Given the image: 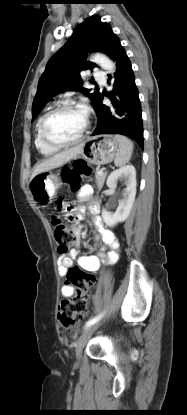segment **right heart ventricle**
I'll list each match as a JSON object with an SVG mask.
<instances>
[{"mask_svg":"<svg viewBox=\"0 0 187 415\" xmlns=\"http://www.w3.org/2000/svg\"><path fill=\"white\" fill-rule=\"evenodd\" d=\"M42 118H43V116H41L38 119L37 124H36L35 146L41 154H43L45 156H50V155L55 154L60 148L51 147V146L45 144L44 141L42 140V138L40 136V132H39L40 123H41Z\"/></svg>","mask_w":187,"mask_h":415,"instance_id":"1","label":"right heart ventricle"}]
</instances>
